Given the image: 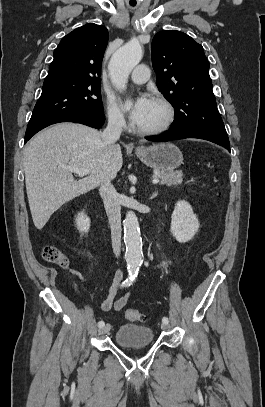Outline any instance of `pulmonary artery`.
Instances as JSON below:
<instances>
[{
	"mask_svg": "<svg viewBox=\"0 0 265 407\" xmlns=\"http://www.w3.org/2000/svg\"><path fill=\"white\" fill-rule=\"evenodd\" d=\"M149 74V68L146 65L141 64L136 66L135 69L132 71L130 80L134 84H143L148 80Z\"/></svg>",
	"mask_w": 265,
	"mask_h": 407,
	"instance_id": "obj_1",
	"label": "pulmonary artery"
}]
</instances>
